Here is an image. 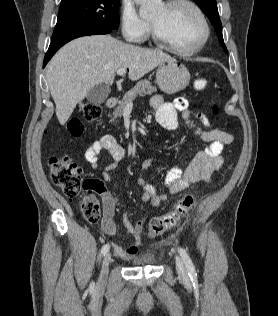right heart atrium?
Segmentation results:
<instances>
[{
    "mask_svg": "<svg viewBox=\"0 0 278 316\" xmlns=\"http://www.w3.org/2000/svg\"><path fill=\"white\" fill-rule=\"evenodd\" d=\"M121 31L129 42L143 41L149 32V23L142 19L130 2H124L120 15Z\"/></svg>",
    "mask_w": 278,
    "mask_h": 316,
    "instance_id": "1",
    "label": "right heart atrium"
}]
</instances>
